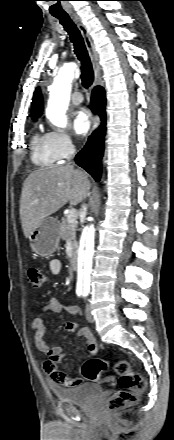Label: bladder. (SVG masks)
Returning <instances> with one entry per match:
<instances>
[{
	"label": "bladder",
	"instance_id": "1",
	"mask_svg": "<svg viewBox=\"0 0 174 440\" xmlns=\"http://www.w3.org/2000/svg\"><path fill=\"white\" fill-rule=\"evenodd\" d=\"M53 392L62 402L88 404L101 394L102 388L99 385L84 383L68 388L54 387Z\"/></svg>",
	"mask_w": 174,
	"mask_h": 440
}]
</instances>
